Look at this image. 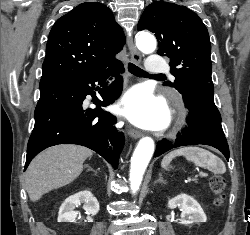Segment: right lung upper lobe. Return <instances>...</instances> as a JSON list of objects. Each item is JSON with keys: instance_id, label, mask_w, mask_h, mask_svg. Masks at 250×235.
<instances>
[{"instance_id": "cb5924a9", "label": "right lung upper lobe", "mask_w": 250, "mask_h": 235, "mask_svg": "<svg viewBox=\"0 0 250 235\" xmlns=\"http://www.w3.org/2000/svg\"><path fill=\"white\" fill-rule=\"evenodd\" d=\"M125 36L111 10L86 2L60 17L46 45L40 85L68 80L111 62L122 50Z\"/></svg>"}]
</instances>
